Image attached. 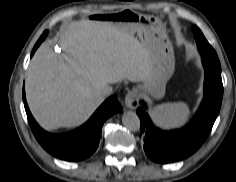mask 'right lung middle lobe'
<instances>
[{"mask_svg":"<svg viewBox=\"0 0 236 182\" xmlns=\"http://www.w3.org/2000/svg\"><path fill=\"white\" fill-rule=\"evenodd\" d=\"M46 35H47V31H45V32L41 35V37H40L39 39H41V38L43 37L41 40L44 41Z\"/></svg>","mask_w":236,"mask_h":182,"instance_id":"right-lung-middle-lobe-1","label":"right lung middle lobe"}]
</instances>
